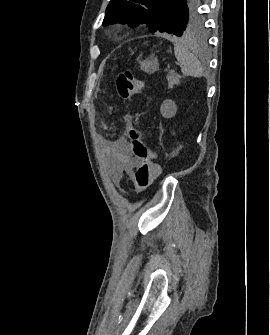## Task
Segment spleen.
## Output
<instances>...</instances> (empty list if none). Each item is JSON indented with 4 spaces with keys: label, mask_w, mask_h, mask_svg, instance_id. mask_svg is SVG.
<instances>
[{
    "label": "spleen",
    "mask_w": 270,
    "mask_h": 335,
    "mask_svg": "<svg viewBox=\"0 0 270 335\" xmlns=\"http://www.w3.org/2000/svg\"><path fill=\"white\" fill-rule=\"evenodd\" d=\"M174 44V54L177 62L181 63V72L184 76H194L200 78L203 74V68L198 58L189 52L184 38H175L172 40Z\"/></svg>",
    "instance_id": "obj_1"
}]
</instances>
